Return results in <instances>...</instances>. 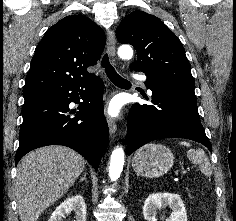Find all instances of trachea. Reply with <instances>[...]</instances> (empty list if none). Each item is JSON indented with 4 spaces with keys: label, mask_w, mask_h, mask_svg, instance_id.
I'll return each mask as SVG.
<instances>
[{
    "label": "trachea",
    "mask_w": 236,
    "mask_h": 221,
    "mask_svg": "<svg viewBox=\"0 0 236 221\" xmlns=\"http://www.w3.org/2000/svg\"><path fill=\"white\" fill-rule=\"evenodd\" d=\"M101 66L105 69V72L108 76V78L118 86H123V85H130V82L124 78H122L114 69V67L110 64L108 55L105 54L103 56Z\"/></svg>",
    "instance_id": "1"
}]
</instances>
